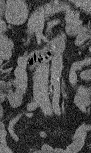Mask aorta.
Returning <instances> with one entry per match:
<instances>
[{
  "label": "aorta",
  "instance_id": "762f6f07",
  "mask_svg": "<svg viewBox=\"0 0 91 153\" xmlns=\"http://www.w3.org/2000/svg\"><path fill=\"white\" fill-rule=\"evenodd\" d=\"M63 68V58L60 52H56L52 58L51 64V84L58 86Z\"/></svg>",
  "mask_w": 91,
  "mask_h": 153
}]
</instances>
